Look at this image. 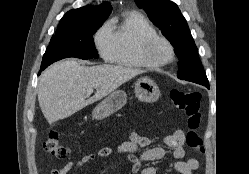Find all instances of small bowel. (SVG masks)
Instances as JSON below:
<instances>
[{
	"label": "small bowel",
	"instance_id": "1",
	"mask_svg": "<svg viewBox=\"0 0 249 174\" xmlns=\"http://www.w3.org/2000/svg\"><path fill=\"white\" fill-rule=\"evenodd\" d=\"M163 144L172 150V157L175 159L174 169L179 174H192L199 168V162L195 158H189L182 160L185 155L184 142L185 134L181 129L174 130L171 134H168L162 139ZM151 144V139L147 136H142L136 131H131L128 141L121 143L116 149L111 147H104L100 149L97 154L90 153L79 160L69 161L63 167L59 169H52L50 174H70L71 172H77L82 167L98 157H108L113 154L127 155L128 160L131 163V169L136 174H157V170L154 167L147 166L141 167L143 162L155 161L163 159L166 155L164 147H153L145 150L141 155L136 156L135 153L140 148L148 147Z\"/></svg>",
	"mask_w": 249,
	"mask_h": 174
}]
</instances>
